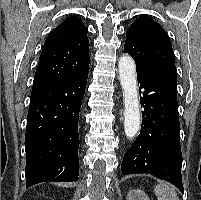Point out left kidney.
I'll use <instances>...</instances> for the list:
<instances>
[{"label": "left kidney", "mask_w": 201, "mask_h": 200, "mask_svg": "<svg viewBox=\"0 0 201 200\" xmlns=\"http://www.w3.org/2000/svg\"><path fill=\"white\" fill-rule=\"evenodd\" d=\"M127 200H150L141 189H134L128 193Z\"/></svg>", "instance_id": "1"}]
</instances>
